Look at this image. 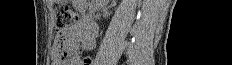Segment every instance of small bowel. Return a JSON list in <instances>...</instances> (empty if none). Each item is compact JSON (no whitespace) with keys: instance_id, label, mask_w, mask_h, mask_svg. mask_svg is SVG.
<instances>
[{"instance_id":"small-bowel-1","label":"small bowel","mask_w":232,"mask_h":65,"mask_svg":"<svg viewBox=\"0 0 232 65\" xmlns=\"http://www.w3.org/2000/svg\"><path fill=\"white\" fill-rule=\"evenodd\" d=\"M61 34L65 39V49L69 53L77 52L80 47L87 51L94 50L96 47L95 35H90L81 21L62 31ZM70 65H81V62L74 58Z\"/></svg>"}]
</instances>
